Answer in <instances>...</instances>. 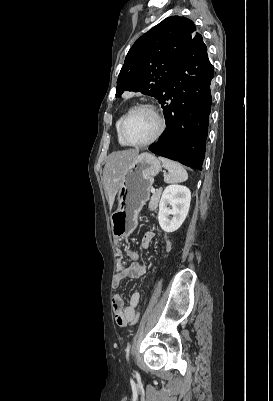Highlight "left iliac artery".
Instances as JSON below:
<instances>
[{"label":"left iliac artery","instance_id":"left-iliac-artery-1","mask_svg":"<svg viewBox=\"0 0 273 401\" xmlns=\"http://www.w3.org/2000/svg\"><path fill=\"white\" fill-rule=\"evenodd\" d=\"M129 351H130V344H128L127 348H126V358L128 359L129 357Z\"/></svg>","mask_w":273,"mask_h":401}]
</instances>
